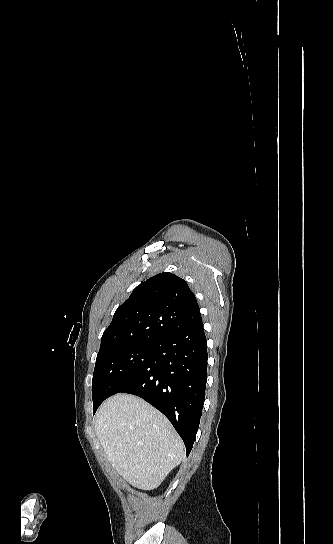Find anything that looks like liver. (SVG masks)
<instances>
[{
	"label": "liver",
	"instance_id": "liver-1",
	"mask_svg": "<svg viewBox=\"0 0 333 544\" xmlns=\"http://www.w3.org/2000/svg\"><path fill=\"white\" fill-rule=\"evenodd\" d=\"M96 435L112 467L141 490L157 488L184 459V445L171 423L150 404L117 394L95 415Z\"/></svg>",
	"mask_w": 333,
	"mask_h": 544
}]
</instances>
